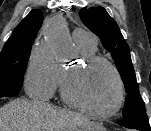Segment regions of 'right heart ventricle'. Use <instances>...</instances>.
<instances>
[{
  "instance_id": "e07e8e85",
  "label": "right heart ventricle",
  "mask_w": 151,
  "mask_h": 131,
  "mask_svg": "<svg viewBox=\"0 0 151 131\" xmlns=\"http://www.w3.org/2000/svg\"><path fill=\"white\" fill-rule=\"evenodd\" d=\"M77 47H78L82 56L94 55L95 51H96V45L90 46V45H86V44H82V43H77ZM60 71H61V75H60V83L59 84L62 85L65 74L67 72V68H65L64 66H60Z\"/></svg>"
}]
</instances>
